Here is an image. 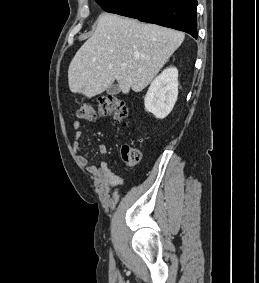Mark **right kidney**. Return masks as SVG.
Instances as JSON below:
<instances>
[{"instance_id": "ca27d5eb", "label": "right kidney", "mask_w": 259, "mask_h": 283, "mask_svg": "<svg viewBox=\"0 0 259 283\" xmlns=\"http://www.w3.org/2000/svg\"><path fill=\"white\" fill-rule=\"evenodd\" d=\"M178 96V70L169 67L151 83L144 99L145 109L157 119H164L172 111Z\"/></svg>"}]
</instances>
